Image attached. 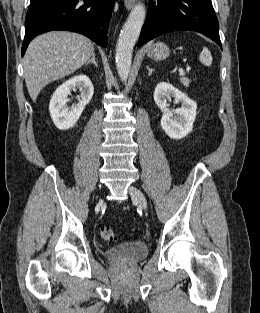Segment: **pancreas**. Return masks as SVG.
I'll use <instances>...</instances> for the list:
<instances>
[{
	"instance_id": "pancreas-1",
	"label": "pancreas",
	"mask_w": 260,
	"mask_h": 313,
	"mask_svg": "<svg viewBox=\"0 0 260 313\" xmlns=\"http://www.w3.org/2000/svg\"><path fill=\"white\" fill-rule=\"evenodd\" d=\"M181 83L183 84L184 87H189V84H190V80L186 77H182L180 79Z\"/></svg>"
}]
</instances>
